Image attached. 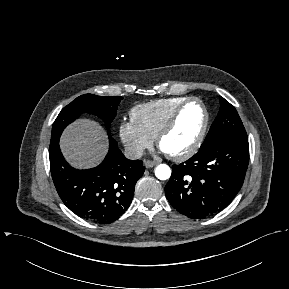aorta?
Instances as JSON below:
<instances>
[{
    "mask_svg": "<svg viewBox=\"0 0 289 289\" xmlns=\"http://www.w3.org/2000/svg\"><path fill=\"white\" fill-rule=\"evenodd\" d=\"M155 176L159 180H167L171 176V169L166 164H159L155 169Z\"/></svg>",
    "mask_w": 289,
    "mask_h": 289,
    "instance_id": "762f6f07",
    "label": "aorta"
}]
</instances>
